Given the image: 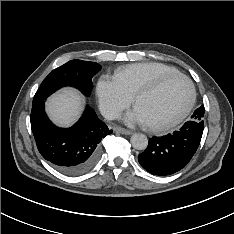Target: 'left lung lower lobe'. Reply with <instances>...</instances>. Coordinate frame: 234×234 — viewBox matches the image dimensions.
Here are the masks:
<instances>
[{
    "instance_id": "0a47b994",
    "label": "left lung lower lobe",
    "mask_w": 234,
    "mask_h": 234,
    "mask_svg": "<svg viewBox=\"0 0 234 234\" xmlns=\"http://www.w3.org/2000/svg\"><path fill=\"white\" fill-rule=\"evenodd\" d=\"M204 123L187 121L178 131L149 139L146 150L138 155L140 165L153 175L173 174L191 160L203 134Z\"/></svg>"
}]
</instances>
